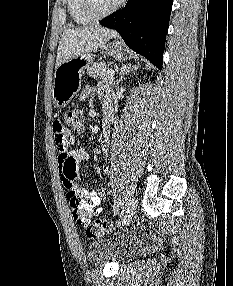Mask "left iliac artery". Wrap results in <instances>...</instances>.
<instances>
[{
    "label": "left iliac artery",
    "instance_id": "44dca946",
    "mask_svg": "<svg viewBox=\"0 0 233 286\" xmlns=\"http://www.w3.org/2000/svg\"><path fill=\"white\" fill-rule=\"evenodd\" d=\"M119 208H120V202L117 201L114 206V214H117L119 212Z\"/></svg>",
    "mask_w": 233,
    "mask_h": 286
}]
</instances>
